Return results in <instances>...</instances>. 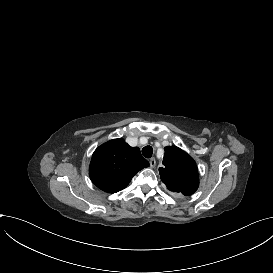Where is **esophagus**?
I'll use <instances>...</instances> for the list:
<instances>
[{"mask_svg":"<svg viewBox=\"0 0 273 273\" xmlns=\"http://www.w3.org/2000/svg\"><path fill=\"white\" fill-rule=\"evenodd\" d=\"M149 163H150V167H152V168L155 167V165H156V160H155V158L152 157V158L150 159Z\"/></svg>","mask_w":273,"mask_h":273,"instance_id":"34e87169","label":"esophagus"}]
</instances>
